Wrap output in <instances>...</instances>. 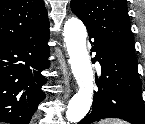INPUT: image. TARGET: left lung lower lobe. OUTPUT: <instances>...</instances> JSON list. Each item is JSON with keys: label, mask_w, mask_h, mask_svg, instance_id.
<instances>
[{"label": "left lung lower lobe", "mask_w": 145, "mask_h": 124, "mask_svg": "<svg viewBox=\"0 0 145 124\" xmlns=\"http://www.w3.org/2000/svg\"><path fill=\"white\" fill-rule=\"evenodd\" d=\"M92 39V41H91ZM92 59L101 65L98 91L94 92L92 110L78 124H91L104 118H120L132 124H145L142 83L137 59L89 35Z\"/></svg>", "instance_id": "left-lung-lower-lobe-1"}]
</instances>
